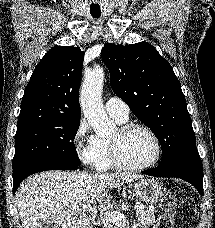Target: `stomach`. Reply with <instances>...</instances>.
Wrapping results in <instances>:
<instances>
[{
  "label": "stomach",
  "instance_id": "0dacf381",
  "mask_svg": "<svg viewBox=\"0 0 215 228\" xmlns=\"http://www.w3.org/2000/svg\"><path fill=\"white\" fill-rule=\"evenodd\" d=\"M130 186L133 188V194H135L136 198H139L142 202H148V204H157L165 192L164 186L157 180H152V178L140 180V182H132Z\"/></svg>",
  "mask_w": 215,
  "mask_h": 228
}]
</instances>
